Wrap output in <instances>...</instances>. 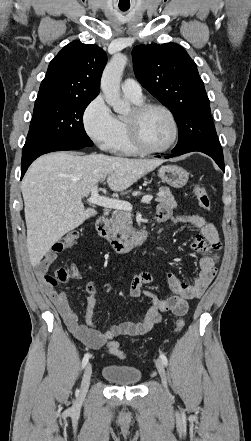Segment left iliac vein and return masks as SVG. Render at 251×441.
<instances>
[{
  "label": "left iliac vein",
  "mask_w": 251,
  "mask_h": 441,
  "mask_svg": "<svg viewBox=\"0 0 251 441\" xmlns=\"http://www.w3.org/2000/svg\"><path fill=\"white\" fill-rule=\"evenodd\" d=\"M156 368H157L158 373L160 375L162 384L167 391V376H166V370H165L164 364L160 360H156Z\"/></svg>",
  "instance_id": "left-iliac-vein-1"
}]
</instances>
